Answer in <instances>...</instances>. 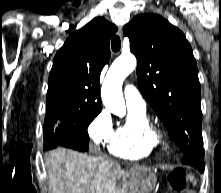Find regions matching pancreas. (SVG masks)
<instances>
[{"instance_id":"obj_1","label":"pancreas","mask_w":221,"mask_h":193,"mask_svg":"<svg viewBox=\"0 0 221 193\" xmlns=\"http://www.w3.org/2000/svg\"><path fill=\"white\" fill-rule=\"evenodd\" d=\"M128 186L130 187V191L129 192H131L132 187H131V183L130 182L128 183Z\"/></svg>"}]
</instances>
